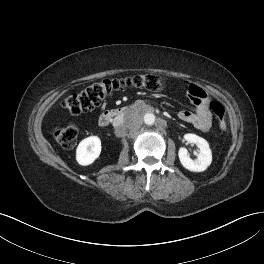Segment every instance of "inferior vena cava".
I'll list each match as a JSON object with an SVG mask.
<instances>
[{"label": "inferior vena cava", "mask_w": 264, "mask_h": 264, "mask_svg": "<svg viewBox=\"0 0 264 264\" xmlns=\"http://www.w3.org/2000/svg\"><path fill=\"white\" fill-rule=\"evenodd\" d=\"M113 125L116 128H122V127H124V125H125L124 118H122V117H116V118H114Z\"/></svg>", "instance_id": "1"}]
</instances>
